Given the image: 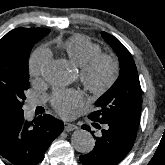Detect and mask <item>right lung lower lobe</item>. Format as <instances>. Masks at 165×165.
I'll return each instance as SVG.
<instances>
[{
  "label": "right lung lower lobe",
  "mask_w": 165,
  "mask_h": 165,
  "mask_svg": "<svg viewBox=\"0 0 165 165\" xmlns=\"http://www.w3.org/2000/svg\"><path fill=\"white\" fill-rule=\"evenodd\" d=\"M63 125L48 114L30 122L23 112L0 118V155L15 165H36Z\"/></svg>",
  "instance_id": "1"
}]
</instances>
